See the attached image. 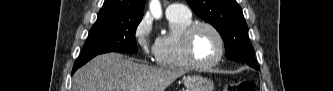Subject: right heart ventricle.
<instances>
[{
  "instance_id": "e07e8e85",
  "label": "right heart ventricle",
  "mask_w": 333,
  "mask_h": 91,
  "mask_svg": "<svg viewBox=\"0 0 333 91\" xmlns=\"http://www.w3.org/2000/svg\"><path fill=\"white\" fill-rule=\"evenodd\" d=\"M171 31L157 38L155 62L167 69L188 71L193 67L187 62L183 49V34L193 23L192 15H167Z\"/></svg>"
}]
</instances>
